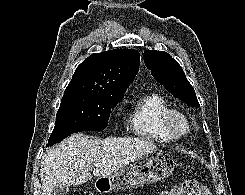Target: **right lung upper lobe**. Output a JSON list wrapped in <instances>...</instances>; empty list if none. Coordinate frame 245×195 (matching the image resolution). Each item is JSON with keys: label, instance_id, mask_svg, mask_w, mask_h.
Returning a JSON list of instances; mask_svg holds the SVG:
<instances>
[{"label": "right lung upper lobe", "instance_id": "right-lung-upper-lobe-1", "mask_svg": "<svg viewBox=\"0 0 245 195\" xmlns=\"http://www.w3.org/2000/svg\"><path fill=\"white\" fill-rule=\"evenodd\" d=\"M140 64L138 51L115 49L94 53L81 63L64 94L89 93L123 98Z\"/></svg>", "mask_w": 245, "mask_h": 195}]
</instances>
